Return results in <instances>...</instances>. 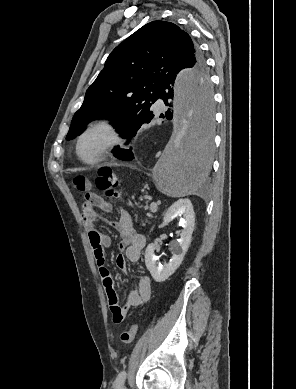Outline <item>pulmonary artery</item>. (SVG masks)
Returning a JSON list of instances; mask_svg holds the SVG:
<instances>
[{
	"mask_svg": "<svg viewBox=\"0 0 296 389\" xmlns=\"http://www.w3.org/2000/svg\"><path fill=\"white\" fill-rule=\"evenodd\" d=\"M164 106V103H163V100L162 99H158L155 103H154V107L156 109H161L163 108Z\"/></svg>",
	"mask_w": 296,
	"mask_h": 389,
	"instance_id": "1",
	"label": "pulmonary artery"
}]
</instances>
